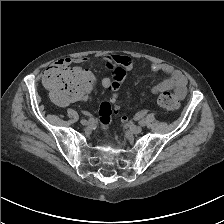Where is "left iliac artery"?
I'll return each instance as SVG.
<instances>
[{
    "mask_svg": "<svg viewBox=\"0 0 224 224\" xmlns=\"http://www.w3.org/2000/svg\"><path fill=\"white\" fill-rule=\"evenodd\" d=\"M139 124H140L141 126H145L146 123H145L144 120H140V121H139Z\"/></svg>",
    "mask_w": 224,
    "mask_h": 224,
    "instance_id": "1",
    "label": "left iliac artery"
}]
</instances>
